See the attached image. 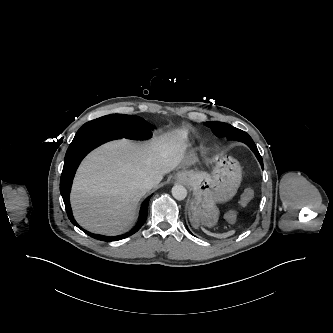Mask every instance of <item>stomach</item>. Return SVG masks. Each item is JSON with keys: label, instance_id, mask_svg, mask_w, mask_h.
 Listing matches in <instances>:
<instances>
[{"label": "stomach", "instance_id": "0dacf381", "mask_svg": "<svg viewBox=\"0 0 333 333\" xmlns=\"http://www.w3.org/2000/svg\"><path fill=\"white\" fill-rule=\"evenodd\" d=\"M212 171L182 168L175 179L187 184L193 191L189 205V218L194 226H214L219 219L218 202L230 200L242 180L240 163L225 153L214 155L210 160Z\"/></svg>", "mask_w": 333, "mask_h": 333}]
</instances>
